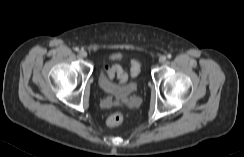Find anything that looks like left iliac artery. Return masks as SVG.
<instances>
[{
  "label": "left iliac artery",
  "instance_id": "obj_1",
  "mask_svg": "<svg viewBox=\"0 0 244 157\" xmlns=\"http://www.w3.org/2000/svg\"><path fill=\"white\" fill-rule=\"evenodd\" d=\"M167 57L170 59L172 57V55L171 54H168Z\"/></svg>",
  "mask_w": 244,
  "mask_h": 157
}]
</instances>
